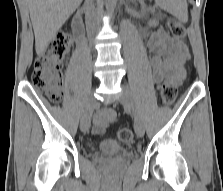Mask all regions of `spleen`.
Here are the masks:
<instances>
[{"label": "spleen", "mask_w": 223, "mask_h": 191, "mask_svg": "<svg viewBox=\"0 0 223 191\" xmlns=\"http://www.w3.org/2000/svg\"><path fill=\"white\" fill-rule=\"evenodd\" d=\"M170 11L183 22L187 21V2L186 0H170Z\"/></svg>", "instance_id": "obj_1"}]
</instances>
